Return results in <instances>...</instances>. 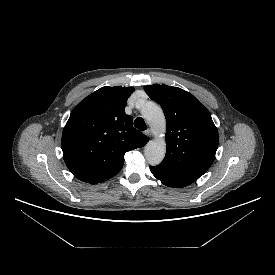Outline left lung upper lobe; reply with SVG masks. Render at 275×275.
<instances>
[{"label":"left lung upper lobe","mask_w":275,"mask_h":275,"mask_svg":"<svg viewBox=\"0 0 275 275\" xmlns=\"http://www.w3.org/2000/svg\"><path fill=\"white\" fill-rule=\"evenodd\" d=\"M144 90L161 105L166 118V155L159 166L197 180L212 165L218 148L211 114L178 87L154 84Z\"/></svg>","instance_id":"1"}]
</instances>
